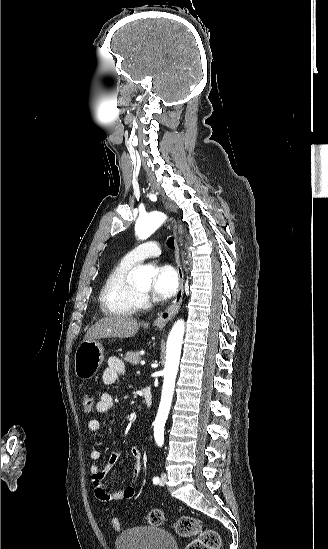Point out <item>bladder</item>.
I'll use <instances>...</instances> for the list:
<instances>
[{
  "label": "bladder",
  "instance_id": "bladder-1",
  "mask_svg": "<svg viewBox=\"0 0 328 549\" xmlns=\"http://www.w3.org/2000/svg\"><path fill=\"white\" fill-rule=\"evenodd\" d=\"M131 532L130 536L116 538L117 549H176L173 535L161 528L139 526Z\"/></svg>",
  "mask_w": 328,
  "mask_h": 549
}]
</instances>
